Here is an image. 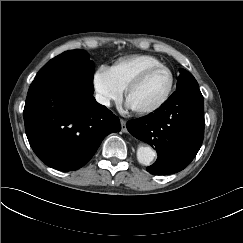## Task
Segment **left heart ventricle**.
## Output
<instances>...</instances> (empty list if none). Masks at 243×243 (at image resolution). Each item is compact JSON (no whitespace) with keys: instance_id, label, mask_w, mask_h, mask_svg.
<instances>
[{"instance_id":"left-heart-ventricle-1","label":"left heart ventricle","mask_w":243,"mask_h":243,"mask_svg":"<svg viewBox=\"0 0 243 243\" xmlns=\"http://www.w3.org/2000/svg\"><path fill=\"white\" fill-rule=\"evenodd\" d=\"M169 81L168 71L165 69L154 70L129 94L127 102L133 109L151 106L164 96Z\"/></svg>"}]
</instances>
